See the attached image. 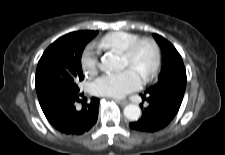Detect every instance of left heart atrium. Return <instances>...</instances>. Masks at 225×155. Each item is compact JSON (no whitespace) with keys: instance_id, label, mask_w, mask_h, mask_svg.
I'll list each match as a JSON object with an SVG mask.
<instances>
[{"instance_id":"left-heart-atrium-1","label":"left heart atrium","mask_w":225,"mask_h":155,"mask_svg":"<svg viewBox=\"0 0 225 155\" xmlns=\"http://www.w3.org/2000/svg\"><path fill=\"white\" fill-rule=\"evenodd\" d=\"M142 77L133 69L105 74L94 81L92 92L97 96L121 98L139 89Z\"/></svg>"}]
</instances>
